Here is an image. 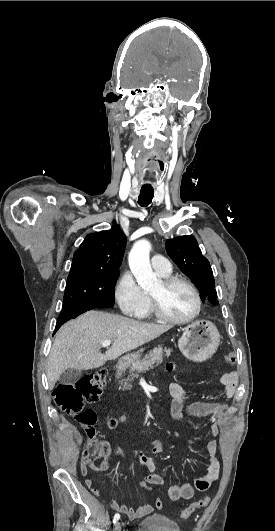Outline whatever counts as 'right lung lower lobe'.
<instances>
[{"instance_id":"right-lung-lower-lobe-1","label":"right lung lower lobe","mask_w":275,"mask_h":531,"mask_svg":"<svg viewBox=\"0 0 275 531\" xmlns=\"http://www.w3.org/2000/svg\"><path fill=\"white\" fill-rule=\"evenodd\" d=\"M96 307L69 306L64 307L58 317L54 333L68 320L76 318L80 314L95 309Z\"/></svg>"}]
</instances>
